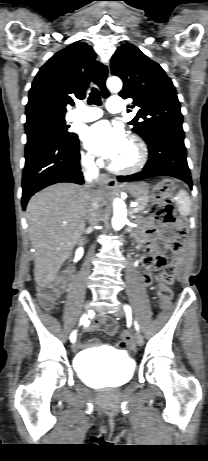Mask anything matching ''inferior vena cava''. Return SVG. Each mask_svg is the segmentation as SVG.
Segmentation results:
<instances>
[{
	"instance_id": "602c4592",
	"label": "inferior vena cava",
	"mask_w": 208,
	"mask_h": 461,
	"mask_svg": "<svg viewBox=\"0 0 208 461\" xmlns=\"http://www.w3.org/2000/svg\"><path fill=\"white\" fill-rule=\"evenodd\" d=\"M84 177L86 181L85 187L88 189V206L89 211L87 215V221L90 225L95 226L98 224L101 212H100V199L95 190L94 184L98 182V168L94 162V157L91 155L82 157L81 160Z\"/></svg>"
}]
</instances>
